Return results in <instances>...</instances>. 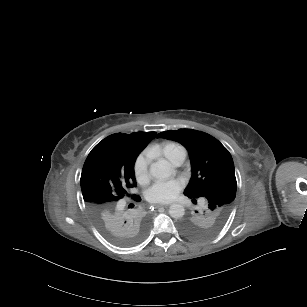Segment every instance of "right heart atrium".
Returning <instances> with one entry per match:
<instances>
[{
  "label": "right heart atrium",
  "mask_w": 307,
  "mask_h": 307,
  "mask_svg": "<svg viewBox=\"0 0 307 307\" xmlns=\"http://www.w3.org/2000/svg\"><path fill=\"white\" fill-rule=\"evenodd\" d=\"M135 173L138 177H142L147 173V164L143 155H140L135 162Z\"/></svg>",
  "instance_id": "right-heart-atrium-1"
}]
</instances>
